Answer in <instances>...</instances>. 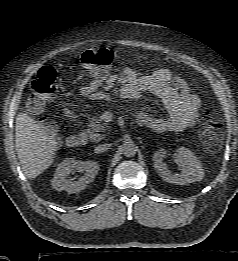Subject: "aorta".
Returning a JSON list of instances; mask_svg holds the SVG:
<instances>
[{"label":"aorta","instance_id":"762f6f07","mask_svg":"<svg viewBox=\"0 0 238 261\" xmlns=\"http://www.w3.org/2000/svg\"><path fill=\"white\" fill-rule=\"evenodd\" d=\"M123 154L126 157H134L137 153L138 147L133 141H127L122 147Z\"/></svg>","mask_w":238,"mask_h":261}]
</instances>
